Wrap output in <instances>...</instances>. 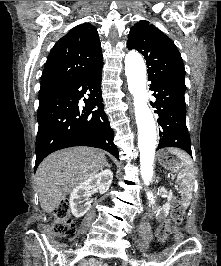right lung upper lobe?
I'll return each mask as SVG.
<instances>
[{"label":"right lung upper lobe","mask_w":221,"mask_h":266,"mask_svg":"<svg viewBox=\"0 0 221 266\" xmlns=\"http://www.w3.org/2000/svg\"><path fill=\"white\" fill-rule=\"evenodd\" d=\"M102 64L97 30L90 23L78 25L52 48L42 73L41 87H59Z\"/></svg>","instance_id":"1"}]
</instances>
